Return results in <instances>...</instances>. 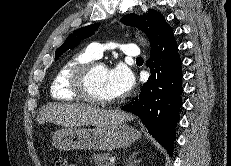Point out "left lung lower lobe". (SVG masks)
<instances>
[{"label": "left lung lower lobe", "mask_w": 231, "mask_h": 166, "mask_svg": "<svg viewBox=\"0 0 231 166\" xmlns=\"http://www.w3.org/2000/svg\"><path fill=\"white\" fill-rule=\"evenodd\" d=\"M146 65L151 68L149 80L143 85L139 98L122 110L139 116L149 133L172 155L182 106L183 75L171 27L151 46Z\"/></svg>", "instance_id": "left-lung-lower-lobe-1"}]
</instances>
